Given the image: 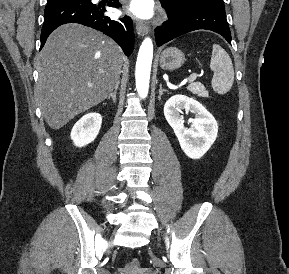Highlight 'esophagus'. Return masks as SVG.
Instances as JSON below:
<instances>
[{
  "mask_svg": "<svg viewBox=\"0 0 289 274\" xmlns=\"http://www.w3.org/2000/svg\"><path fill=\"white\" fill-rule=\"evenodd\" d=\"M136 30L140 36H143L148 32V25L146 24V22H144L142 20H137L136 21Z\"/></svg>",
  "mask_w": 289,
  "mask_h": 274,
  "instance_id": "1",
  "label": "esophagus"
}]
</instances>
